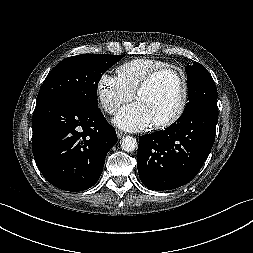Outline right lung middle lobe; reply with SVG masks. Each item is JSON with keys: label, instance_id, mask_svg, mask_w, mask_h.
Listing matches in <instances>:
<instances>
[{"label": "right lung middle lobe", "instance_id": "dd1d6c3e", "mask_svg": "<svg viewBox=\"0 0 253 253\" xmlns=\"http://www.w3.org/2000/svg\"><path fill=\"white\" fill-rule=\"evenodd\" d=\"M122 57L123 55L81 54L62 60L44 80L37 103L58 99L87 109L98 108L97 88L102 74Z\"/></svg>", "mask_w": 253, "mask_h": 253}]
</instances>
